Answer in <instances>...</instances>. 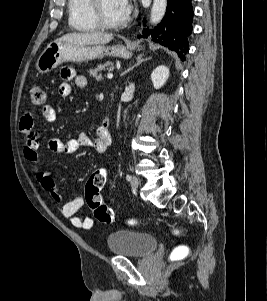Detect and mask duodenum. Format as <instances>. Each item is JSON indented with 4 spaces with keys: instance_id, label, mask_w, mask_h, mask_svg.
<instances>
[{
    "instance_id": "duodenum-1",
    "label": "duodenum",
    "mask_w": 267,
    "mask_h": 301,
    "mask_svg": "<svg viewBox=\"0 0 267 301\" xmlns=\"http://www.w3.org/2000/svg\"><path fill=\"white\" fill-rule=\"evenodd\" d=\"M109 123H110L109 117L105 116L103 118V122H102L103 127L107 129V127L109 126Z\"/></svg>"
}]
</instances>
